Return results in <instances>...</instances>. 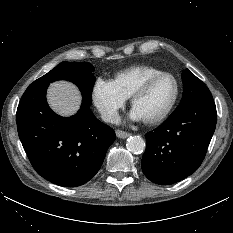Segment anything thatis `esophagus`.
<instances>
[{"instance_id": "esophagus-1", "label": "esophagus", "mask_w": 233, "mask_h": 233, "mask_svg": "<svg viewBox=\"0 0 233 233\" xmlns=\"http://www.w3.org/2000/svg\"><path fill=\"white\" fill-rule=\"evenodd\" d=\"M116 135L119 138L125 139V138L129 137L131 134L118 129V130H116Z\"/></svg>"}]
</instances>
